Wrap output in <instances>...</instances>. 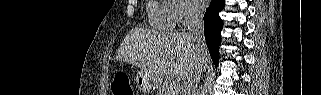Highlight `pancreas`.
I'll list each match as a JSON object with an SVG mask.
<instances>
[{
	"instance_id": "1",
	"label": "pancreas",
	"mask_w": 321,
	"mask_h": 95,
	"mask_svg": "<svg viewBox=\"0 0 321 95\" xmlns=\"http://www.w3.org/2000/svg\"><path fill=\"white\" fill-rule=\"evenodd\" d=\"M160 95H177V88H172L169 83H165L159 87Z\"/></svg>"
}]
</instances>
